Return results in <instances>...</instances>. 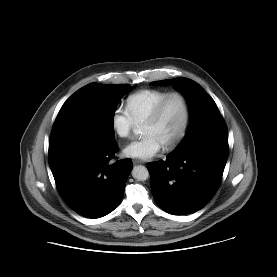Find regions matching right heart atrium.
<instances>
[{"label": "right heart atrium", "mask_w": 277, "mask_h": 277, "mask_svg": "<svg viewBox=\"0 0 277 277\" xmlns=\"http://www.w3.org/2000/svg\"><path fill=\"white\" fill-rule=\"evenodd\" d=\"M111 125L118 137L128 138L137 124L126 109L119 107L112 114Z\"/></svg>", "instance_id": "d8ad5b80"}]
</instances>
